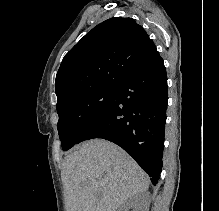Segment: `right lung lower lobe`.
I'll list each match as a JSON object with an SVG mask.
<instances>
[{
    "mask_svg": "<svg viewBox=\"0 0 219 211\" xmlns=\"http://www.w3.org/2000/svg\"><path fill=\"white\" fill-rule=\"evenodd\" d=\"M107 109L82 133L77 144L102 138L122 147L157 184L162 168L167 75L159 56L115 86Z\"/></svg>",
    "mask_w": 219,
    "mask_h": 211,
    "instance_id": "98d812e1",
    "label": "right lung lower lobe"
}]
</instances>
